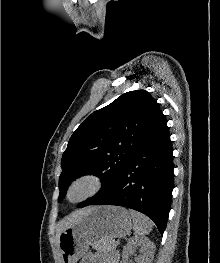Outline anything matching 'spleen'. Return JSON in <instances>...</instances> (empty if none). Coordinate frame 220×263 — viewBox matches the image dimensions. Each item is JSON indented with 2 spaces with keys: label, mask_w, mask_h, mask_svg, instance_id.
Returning <instances> with one entry per match:
<instances>
[{
  "label": "spleen",
  "mask_w": 220,
  "mask_h": 263,
  "mask_svg": "<svg viewBox=\"0 0 220 263\" xmlns=\"http://www.w3.org/2000/svg\"><path fill=\"white\" fill-rule=\"evenodd\" d=\"M129 213L133 220V229L138 235L143 236L151 232L152 222L149 218L134 210H129Z\"/></svg>",
  "instance_id": "1"
}]
</instances>
